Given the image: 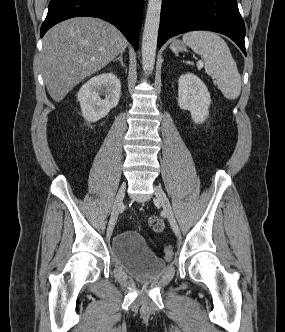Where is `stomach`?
<instances>
[{"label": "stomach", "mask_w": 285, "mask_h": 332, "mask_svg": "<svg viewBox=\"0 0 285 332\" xmlns=\"http://www.w3.org/2000/svg\"><path fill=\"white\" fill-rule=\"evenodd\" d=\"M184 48H185V45L183 44V42H181L179 40L173 41L172 44L170 45V49L174 52L182 51Z\"/></svg>", "instance_id": "obj_1"}]
</instances>
